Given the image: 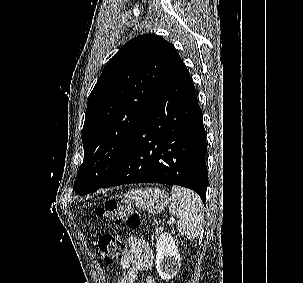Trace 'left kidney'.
<instances>
[{"instance_id":"5707ae66","label":"left kidney","mask_w":303,"mask_h":283,"mask_svg":"<svg viewBox=\"0 0 303 283\" xmlns=\"http://www.w3.org/2000/svg\"><path fill=\"white\" fill-rule=\"evenodd\" d=\"M156 269L163 280L173 278L180 267V254L175 239L168 233L161 234L156 243Z\"/></svg>"}]
</instances>
